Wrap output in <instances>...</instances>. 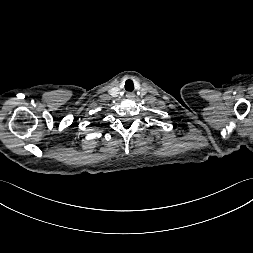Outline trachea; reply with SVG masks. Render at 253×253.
<instances>
[{"label": "trachea", "mask_w": 253, "mask_h": 253, "mask_svg": "<svg viewBox=\"0 0 253 253\" xmlns=\"http://www.w3.org/2000/svg\"><path fill=\"white\" fill-rule=\"evenodd\" d=\"M125 90L128 92H132L134 90V83L131 79L126 80Z\"/></svg>", "instance_id": "obj_1"}]
</instances>
